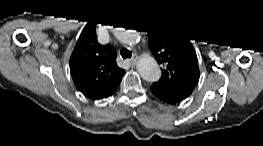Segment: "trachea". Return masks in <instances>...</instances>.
Returning <instances> with one entry per match:
<instances>
[{"instance_id": "1", "label": "trachea", "mask_w": 263, "mask_h": 146, "mask_svg": "<svg viewBox=\"0 0 263 146\" xmlns=\"http://www.w3.org/2000/svg\"><path fill=\"white\" fill-rule=\"evenodd\" d=\"M120 54H121L123 59L131 58V56H132V52L130 50H128L127 48H122L120 51Z\"/></svg>"}]
</instances>
